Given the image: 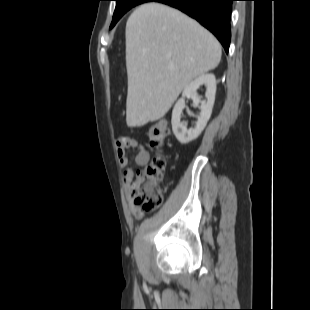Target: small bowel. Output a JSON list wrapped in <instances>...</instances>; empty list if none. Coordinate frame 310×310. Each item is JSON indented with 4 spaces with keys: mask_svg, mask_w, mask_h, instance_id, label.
<instances>
[{
    "mask_svg": "<svg viewBox=\"0 0 310 310\" xmlns=\"http://www.w3.org/2000/svg\"><path fill=\"white\" fill-rule=\"evenodd\" d=\"M135 148L137 154L135 157V163L139 166L146 165L150 160V153L145 145L131 136H122L116 140V152L119 160V164L124 168L123 179L127 186L133 178V170L128 167L129 160L127 157V150ZM127 197L129 199V208L133 215L140 218L144 215V210L136 206L132 201V195L130 194L129 187L127 188Z\"/></svg>",
    "mask_w": 310,
    "mask_h": 310,
    "instance_id": "1",
    "label": "small bowel"
}]
</instances>
